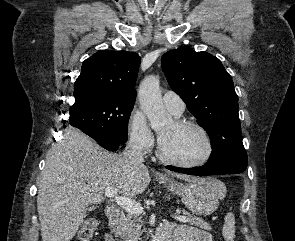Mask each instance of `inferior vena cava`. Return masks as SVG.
<instances>
[{
    "label": "inferior vena cava",
    "mask_w": 295,
    "mask_h": 241,
    "mask_svg": "<svg viewBox=\"0 0 295 241\" xmlns=\"http://www.w3.org/2000/svg\"><path fill=\"white\" fill-rule=\"evenodd\" d=\"M122 157L132 165H142L144 162L142 147L137 142H129L122 153Z\"/></svg>",
    "instance_id": "inferior-vena-cava-1"
}]
</instances>
